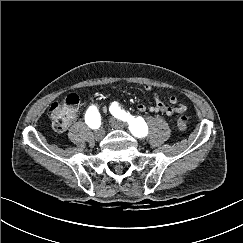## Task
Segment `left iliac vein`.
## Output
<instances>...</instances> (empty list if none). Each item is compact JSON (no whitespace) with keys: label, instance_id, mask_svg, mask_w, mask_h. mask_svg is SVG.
I'll return each mask as SVG.
<instances>
[{"label":"left iliac vein","instance_id":"left-iliac-vein-1","mask_svg":"<svg viewBox=\"0 0 243 243\" xmlns=\"http://www.w3.org/2000/svg\"><path fill=\"white\" fill-rule=\"evenodd\" d=\"M109 123L115 129H125V127H126V124L124 122H122L114 117H111L109 119Z\"/></svg>","mask_w":243,"mask_h":243}]
</instances>
